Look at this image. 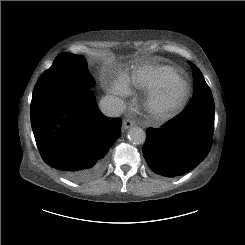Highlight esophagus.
Returning a JSON list of instances; mask_svg holds the SVG:
<instances>
[{
	"mask_svg": "<svg viewBox=\"0 0 245 245\" xmlns=\"http://www.w3.org/2000/svg\"><path fill=\"white\" fill-rule=\"evenodd\" d=\"M132 126H134V122L131 121L130 119H125V120L123 121V128H124L125 130L131 128Z\"/></svg>",
	"mask_w": 245,
	"mask_h": 245,
	"instance_id": "34e87169",
	"label": "esophagus"
}]
</instances>
